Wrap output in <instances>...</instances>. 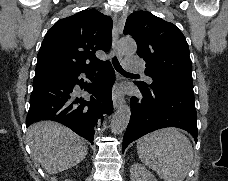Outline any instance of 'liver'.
Masks as SVG:
<instances>
[{
	"instance_id": "obj_1",
	"label": "liver",
	"mask_w": 228,
	"mask_h": 181,
	"mask_svg": "<svg viewBox=\"0 0 228 181\" xmlns=\"http://www.w3.org/2000/svg\"><path fill=\"white\" fill-rule=\"evenodd\" d=\"M27 135L32 159L40 163L48 175L75 167L87 155L85 139L54 121H40L30 125Z\"/></svg>"
}]
</instances>
